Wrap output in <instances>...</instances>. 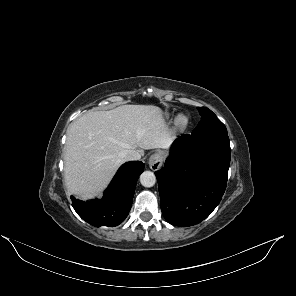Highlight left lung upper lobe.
I'll return each instance as SVG.
<instances>
[{
	"instance_id": "5c2ea615",
	"label": "left lung upper lobe",
	"mask_w": 296,
	"mask_h": 296,
	"mask_svg": "<svg viewBox=\"0 0 296 296\" xmlns=\"http://www.w3.org/2000/svg\"><path fill=\"white\" fill-rule=\"evenodd\" d=\"M202 116L201 121L193 130L192 135H200L213 132H227L225 125L216 117V115L206 107H198Z\"/></svg>"
}]
</instances>
